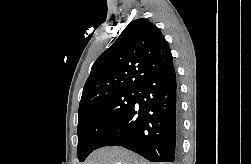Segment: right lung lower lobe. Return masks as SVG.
I'll use <instances>...</instances> for the list:
<instances>
[{
    "label": "right lung lower lobe",
    "mask_w": 251,
    "mask_h": 164,
    "mask_svg": "<svg viewBox=\"0 0 251 164\" xmlns=\"http://www.w3.org/2000/svg\"><path fill=\"white\" fill-rule=\"evenodd\" d=\"M176 88L173 64L147 77L137 88L133 106L103 137L97 149L122 146L151 162L177 163L181 122Z\"/></svg>",
    "instance_id": "obj_1"
}]
</instances>
